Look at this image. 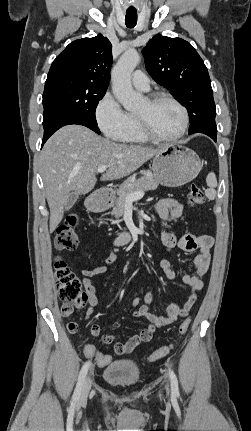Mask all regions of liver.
<instances>
[{"label": "liver", "mask_w": 251, "mask_h": 431, "mask_svg": "<svg viewBox=\"0 0 251 431\" xmlns=\"http://www.w3.org/2000/svg\"><path fill=\"white\" fill-rule=\"evenodd\" d=\"M165 147L115 143L81 125L59 129L45 143L40 155V172L50 208V233L62 221L70 194L84 195L94 188L98 167L108 166L101 181L121 179Z\"/></svg>", "instance_id": "6515ba94"}]
</instances>
